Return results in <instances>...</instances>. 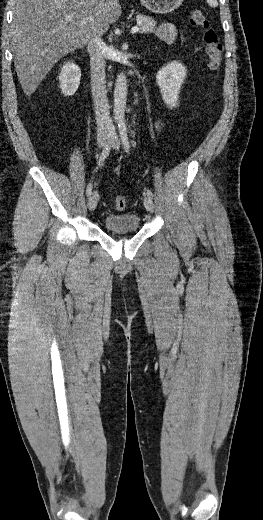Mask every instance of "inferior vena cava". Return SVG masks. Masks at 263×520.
Returning a JSON list of instances; mask_svg holds the SVG:
<instances>
[{"label":"inferior vena cava","instance_id":"602c4592","mask_svg":"<svg viewBox=\"0 0 263 520\" xmlns=\"http://www.w3.org/2000/svg\"><path fill=\"white\" fill-rule=\"evenodd\" d=\"M91 66V88L98 133L110 131L113 127L107 101L105 80L106 44L95 31L88 42Z\"/></svg>","mask_w":263,"mask_h":520}]
</instances>
